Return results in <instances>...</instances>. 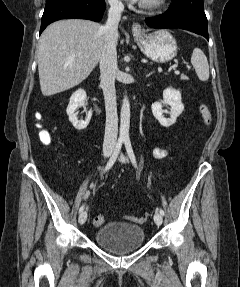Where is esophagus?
Segmentation results:
<instances>
[{"mask_svg": "<svg viewBox=\"0 0 240 287\" xmlns=\"http://www.w3.org/2000/svg\"><path fill=\"white\" fill-rule=\"evenodd\" d=\"M132 32L134 35H139L142 32L141 25L139 23H134L132 25Z\"/></svg>", "mask_w": 240, "mask_h": 287, "instance_id": "1", "label": "esophagus"}]
</instances>
